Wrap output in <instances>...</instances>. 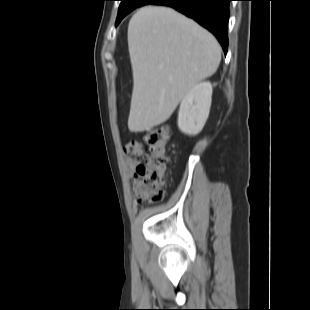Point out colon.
Here are the masks:
<instances>
[{"instance_id":"1","label":"colon","mask_w":310,"mask_h":310,"mask_svg":"<svg viewBox=\"0 0 310 310\" xmlns=\"http://www.w3.org/2000/svg\"><path fill=\"white\" fill-rule=\"evenodd\" d=\"M170 136L171 130L167 126L156 127L145 133V163L137 167L133 177V192L141 204L156 203L163 197Z\"/></svg>"}]
</instances>
